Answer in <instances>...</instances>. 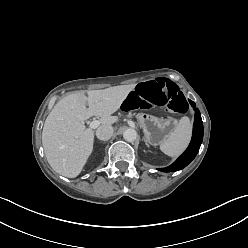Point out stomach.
I'll list each match as a JSON object with an SVG mask.
<instances>
[{
	"mask_svg": "<svg viewBox=\"0 0 248 248\" xmlns=\"http://www.w3.org/2000/svg\"><path fill=\"white\" fill-rule=\"evenodd\" d=\"M138 122L143 130L145 141L152 146L162 144L177 125L173 118L163 119L145 113L138 115Z\"/></svg>",
	"mask_w": 248,
	"mask_h": 248,
	"instance_id": "obj_1",
	"label": "stomach"
}]
</instances>
